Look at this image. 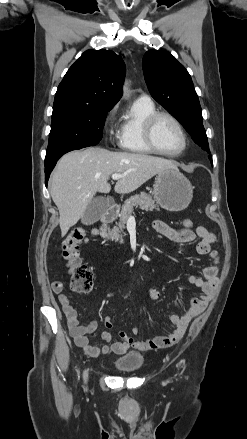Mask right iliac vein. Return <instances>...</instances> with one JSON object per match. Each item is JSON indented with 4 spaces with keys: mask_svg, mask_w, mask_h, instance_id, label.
Instances as JSON below:
<instances>
[{
    "mask_svg": "<svg viewBox=\"0 0 247 439\" xmlns=\"http://www.w3.org/2000/svg\"><path fill=\"white\" fill-rule=\"evenodd\" d=\"M83 377H84V381L86 382L88 379V372L87 371H84Z\"/></svg>",
    "mask_w": 247,
    "mask_h": 439,
    "instance_id": "63e3f726",
    "label": "right iliac vein"
}]
</instances>
